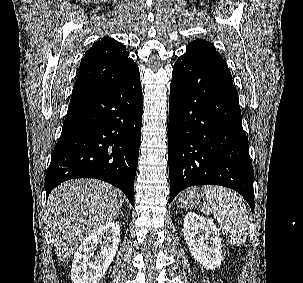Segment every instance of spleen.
<instances>
[{
  "label": "spleen",
  "instance_id": "3e777b00",
  "mask_svg": "<svg viewBox=\"0 0 303 283\" xmlns=\"http://www.w3.org/2000/svg\"><path fill=\"white\" fill-rule=\"evenodd\" d=\"M207 204L201 207L213 214L228 242L235 246L245 243L248 236V213L242 199L232 190L221 186H204Z\"/></svg>",
  "mask_w": 303,
  "mask_h": 283
}]
</instances>
